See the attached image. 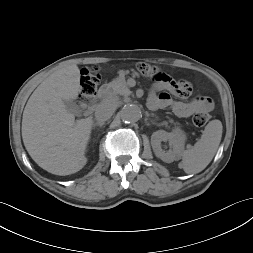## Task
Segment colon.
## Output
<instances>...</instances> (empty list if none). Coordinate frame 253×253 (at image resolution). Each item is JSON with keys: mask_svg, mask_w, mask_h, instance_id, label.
<instances>
[{"mask_svg": "<svg viewBox=\"0 0 253 253\" xmlns=\"http://www.w3.org/2000/svg\"><path fill=\"white\" fill-rule=\"evenodd\" d=\"M138 72L145 77L155 80L162 78L165 74L162 70L147 63H139L137 65ZM100 76L96 68L83 69L80 77V96L85 102L91 101L97 92ZM210 119L208 112H199L193 116V124L197 127H203Z\"/></svg>", "mask_w": 253, "mask_h": 253, "instance_id": "obj_1", "label": "colon"}]
</instances>
